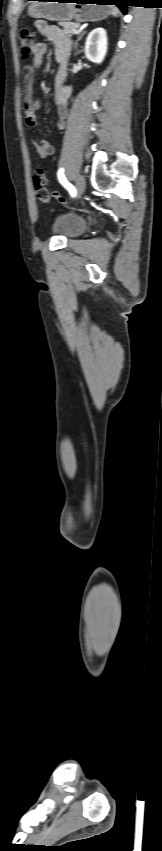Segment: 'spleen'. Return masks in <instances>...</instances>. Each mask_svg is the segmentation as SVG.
<instances>
[{"label":"spleen","mask_w":162,"mask_h":851,"mask_svg":"<svg viewBox=\"0 0 162 851\" xmlns=\"http://www.w3.org/2000/svg\"><path fill=\"white\" fill-rule=\"evenodd\" d=\"M111 10H112V15H113V16H117V14H118V9H116L115 7H111Z\"/></svg>","instance_id":"spleen-1"}]
</instances>
